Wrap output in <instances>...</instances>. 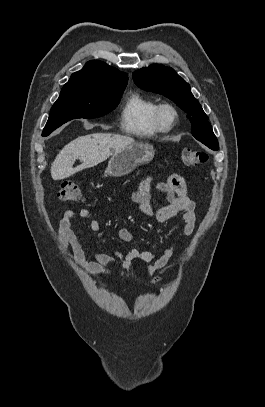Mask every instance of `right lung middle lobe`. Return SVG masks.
Returning a JSON list of instances; mask_svg holds the SVG:
<instances>
[{
    "label": "right lung middle lobe",
    "mask_w": 265,
    "mask_h": 407,
    "mask_svg": "<svg viewBox=\"0 0 265 407\" xmlns=\"http://www.w3.org/2000/svg\"><path fill=\"white\" fill-rule=\"evenodd\" d=\"M126 85L95 81L67 82L52 106L42 135L75 118H97L114 110Z\"/></svg>",
    "instance_id": "dd1d6c3e"
}]
</instances>
